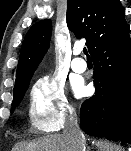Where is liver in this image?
Wrapping results in <instances>:
<instances>
[{"label":"liver","mask_w":131,"mask_h":151,"mask_svg":"<svg viewBox=\"0 0 131 151\" xmlns=\"http://www.w3.org/2000/svg\"><path fill=\"white\" fill-rule=\"evenodd\" d=\"M12 151H74L71 142L61 134L49 135L16 145Z\"/></svg>","instance_id":"liver-1"}]
</instances>
